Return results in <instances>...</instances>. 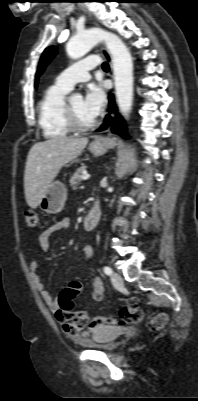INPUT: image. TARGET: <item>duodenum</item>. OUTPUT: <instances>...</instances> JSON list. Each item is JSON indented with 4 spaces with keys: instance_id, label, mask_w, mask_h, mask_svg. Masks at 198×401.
I'll return each mask as SVG.
<instances>
[{
    "instance_id": "duodenum-1",
    "label": "duodenum",
    "mask_w": 198,
    "mask_h": 401,
    "mask_svg": "<svg viewBox=\"0 0 198 401\" xmlns=\"http://www.w3.org/2000/svg\"><path fill=\"white\" fill-rule=\"evenodd\" d=\"M101 217V208L99 204L96 202L90 212L86 215L83 220V227L85 230H92L96 227L99 219Z\"/></svg>"
}]
</instances>
